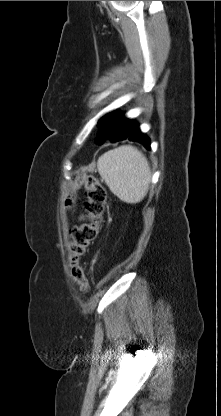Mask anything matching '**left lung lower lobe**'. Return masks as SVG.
<instances>
[{"mask_svg":"<svg viewBox=\"0 0 221 416\" xmlns=\"http://www.w3.org/2000/svg\"><path fill=\"white\" fill-rule=\"evenodd\" d=\"M123 139L139 142L143 144L145 148L150 149V139L139 130L138 124L136 122H133V125L128 135L119 140H123ZM96 141H97V138H96Z\"/></svg>","mask_w":221,"mask_h":416,"instance_id":"1","label":"left lung lower lobe"}]
</instances>
